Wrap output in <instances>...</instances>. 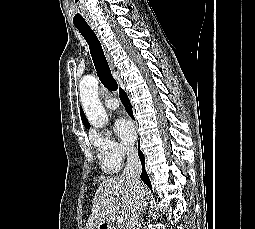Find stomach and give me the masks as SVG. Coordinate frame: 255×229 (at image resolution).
Wrapping results in <instances>:
<instances>
[{
  "label": "stomach",
  "mask_w": 255,
  "mask_h": 229,
  "mask_svg": "<svg viewBox=\"0 0 255 229\" xmlns=\"http://www.w3.org/2000/svg\"><path fill=\"white\" fill-rule=\"evenodd\" d=\"M87 229H100V225L96 227H87Z\"/></svg>",
  "instance_id": "0dacf381"
}]
</instances>
